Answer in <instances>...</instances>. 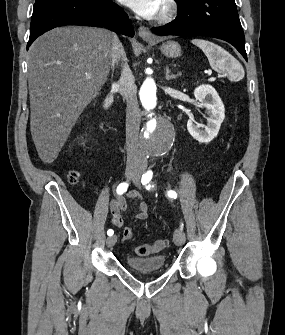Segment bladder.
<instances>
[{"label": "bladder", "instance_id": "31cf9c89", "mask_svg": "<svg viewBox=\"0 0 285 335\" xmlns=\"http://www.w3.org/2000/svg\"><path fill=\"white\" fill-rule=\"evenodd\" d=\"M127 265H132L134 273H160L158 265H163V258H168L163 252L154 253L151 256L135 257L126 255Z\"/></svg>", "mask_w": 285, "mask_h": 335}]
</instances>
